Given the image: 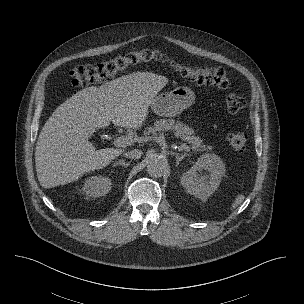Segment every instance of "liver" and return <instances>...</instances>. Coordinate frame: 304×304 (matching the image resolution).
I'll return each instance as SVG.
<instances>
[{
	"instance_id": "obj_1",
	"label": "liver",
	"mask_w": 304,
	"mask_h": 304,
	"mask_svg": "<svg viewBox=\"0 0 304 304\" xmlns=\"http://www.w3.org/2000/svg\"><path fill=\"white\" fill-rule=\"evenodd\" d=\"M168 78L136 72L78 91L62 103L44 124L36 144L37 177L44 188L73 182L89 171L107 166L122 149L96 150L89 138L112 121L139 129L152 100Z\"/></svg>"
}]
</instances>
